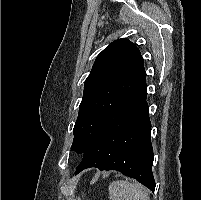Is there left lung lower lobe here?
Wrapping results in <instances>:
<instances>
[{"label":"left lung lower lobe","instance_id":"0a47b994","mask_svg":"<svg viewBox=\"0 0 201 200\" xmlns=\"http://www.w3.org/2000/svg\"><path fill=\"white\" fill-rule=\"evenodd\" d=\"M146 78L106 117L75 174L90 167L117 170L155 190Z\"/></svg>","mask_w":201,"mask_h":200}]
</instances>
